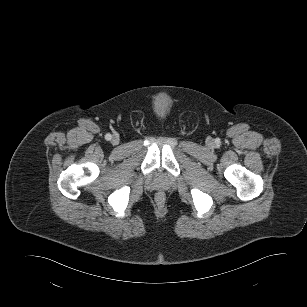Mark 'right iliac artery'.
<instances>
[{"label": "right iliac artery", "instance_id": "obj_1", "mask_svg": "<svg viewBox=\"0 0 307 307\" xmlns=\"http://www.w3.org/2000/svg\"><path fill=\"white\" fill-rule=\"evenodd\" d=\"M111 134H106V136H105V138L107 139V140H110L111 139Z\"/></svg>", "mask_w": 307, "mask_h": 307}]
</instances>
